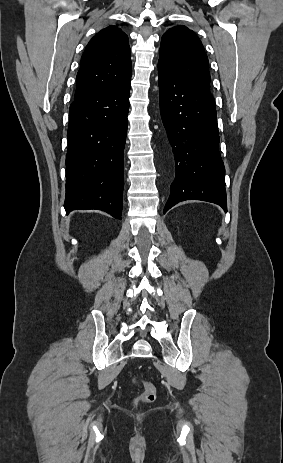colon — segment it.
I'll use <instances>...</instances> for the list:
<instances>
[{"label": "colon", "instance_id": "5ec220e1", "mask_svg": "<svg viewBox=\"0 0 283 463\" xmlns=\"http://www.w3.org/2000/svg\"><path fill=\"white\" fill-rule=\"evenodd\" d=\"M156 396L157 391L154 384L149 381H144L142 382V391L135 399V404L138 405L152 403L156 399Z\"/></svg>", "mask_w": 283, "mask_h": 463}]
</instances>
